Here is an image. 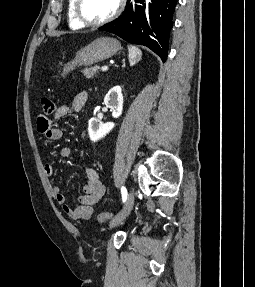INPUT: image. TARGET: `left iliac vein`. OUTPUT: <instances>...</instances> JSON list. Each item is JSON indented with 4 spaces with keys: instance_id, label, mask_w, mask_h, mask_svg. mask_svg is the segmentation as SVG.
<instances>
[{
    "instance_id": "4c4485c4",
    "label": "left iliac vein",
    "mask_w": 255,
    "mask_h": 287,
    "mask_svg": "<svg viewBox=\"0 0 255 287\" xmlns=\"http://www.w3.org/2000/svg\"><path fill=\"white\" fill-rule=\"evenodd\" d=\"M134 206V191L130 190L126 202L121 211L110 221V228L119 225L130 214Z\"/></svg>"
}]
</instances>
